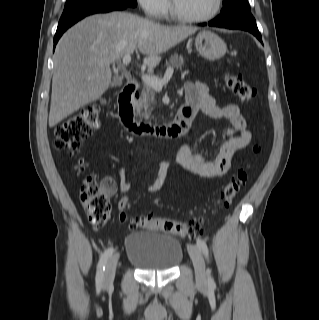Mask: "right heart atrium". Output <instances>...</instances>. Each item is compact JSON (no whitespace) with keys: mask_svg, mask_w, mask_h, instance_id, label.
I'll return each instance as SVG.
<instances>
[{"mask_svg":"<svg viewBox=\"0 0 319 320\" xmlns=\"http://www.w3.org/2000/svg\"><path fill=\"white\" fill-rule=\"evenodd\" d=\"M142 9L150 16L163 17L169 7L167 0H137Z\"/></svg>","mask_w":319,"mask_h":320,"instance_id":"obj_1","label":"right heart atrium"}]
</instances>
